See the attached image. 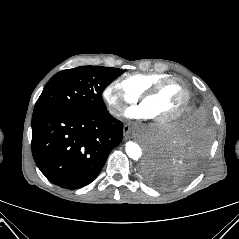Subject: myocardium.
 I'll use <instances>...</instances> for the list:
<instances>
[{"mask_svg":"<svg viewBox=\"0 0 239 239\" xmlns=\"http://www.w3.org/2000/svg\"><path fill=\"white\" fill-rule=\"evenodd\" d=\"M171 83H178L182 86L184 93H185V98H184L183 104L180 107V109L177 112H175L173 115L163 118V119H154V121L160 125L173 122V121L179 119L186 112V110L188 109L190 100H191L190 89L188 88L186 83L184 81H182L181 79L176 78V77H168V78H165V79H162V80L156 82L155 84H153L152 86L147 88L141 94V102L143 103L147 98L156 95L162 88H164L166 85L171 84Z\"/></svg>","mask_w":239,"mask_h":239,"instance_id":"1","label":"myocardium"}]
</instances>
